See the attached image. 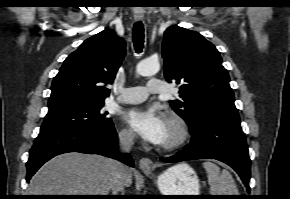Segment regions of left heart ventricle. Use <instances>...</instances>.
<instances>
[{
	"instance_id": "b2bd125f",
	"label": "left heart ventricle",
	"mask_w": 290,
	"mask_h": 199,
	"mask_svg": "<svg viewBox=\"0 0 290 199\" xmlns=\"http://www.w3.org/2000/svg\"><path fill=\"white\" fill-rule=\"evenodd\" d=\"M175 137H176V131L172 127V125L167 121L166 128H165V134H164V137H163L160 145H164V144L171 142Z\"/></svg>"
}]
</instances>
